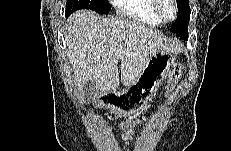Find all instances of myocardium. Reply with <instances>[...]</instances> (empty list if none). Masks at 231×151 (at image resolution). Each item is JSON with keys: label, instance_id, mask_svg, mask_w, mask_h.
<instances>
[{"label": "myocardium", "instance_id": "myocardium-1", "mask_svg": "<svg viewBox=\"0 0 231 151\" xmlns=\"http://www.w3.org/2000/svg\"><path fill=\"white\" fill-rule=\"evenodd\" d=\"M154 12L157 15V17L162 20L163 22H169L174 20L177 17L178 14V6L176 0H154ZM166 3H169L173 9V13L171 16H166L163 13V8L166 5Z\"/></svg>", "mask_w": 231, "mask_h": 151}]
</instances>
